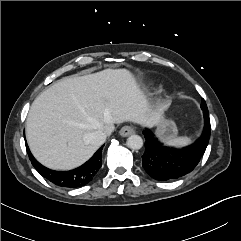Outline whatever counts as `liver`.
<instances>
[{
    "mask_svg": "<svg viewBox=\"0 0 241 241\" xmlns=\"http://www.w3.org/2000/svg\"><path fill=\"white\" fill-rule=\"evenodd\" d=\"M160 111H152L146 96L126 69H107L67 77L43 91L31 105L26 137L34 157L54 170H70L98 149L87 140L96 130L111 134L114 124L134 122L157 126Z\"/></svg>",
    "mask_w": 241,
    "mask_h": 241,
    "instance_id": "6515ba94",
    "label": "liver"
}]
</instances>
